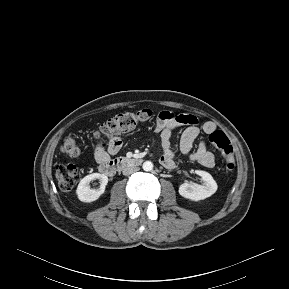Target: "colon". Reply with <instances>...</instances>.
Instances as JSON below:
<instances>
[{
    "instance_id": "obj_1",
    "label": "colon",
    "mask_w": 289,
    "mask_h": 289,
    "mask_svg": "<svg viewBox=\"0 0 289 289\" xmlns=\"http://www.w3.org/2000/svg\"><path fill=\"white\" fill-rule=\"evenodd\" d=\"M152 118L153 112L148 109L121 113L101 124L95 131L94 137L100 145L105 146L107 140H110L120 133L130 131ZM209 140L224 156L226 169L232 171L235 168V161L233 149L227 136L222 131L216 130L209 134ZM60 151L69 157H77L81 152L76 138L72 135L65 137L60 146ZM56 177L63 191H71L79 179V172L75 165L63 164L57 166Z\"/></svg>"
}]
</instances>
